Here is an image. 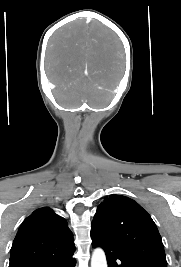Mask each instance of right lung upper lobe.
<instances>
[{
    "instance_id": "1",
    "label": "right lung upper lobe",
    "mask_w": 181,
    "mask_h": 267,
    "mask_svg": "<svg viewBox=\"0 0 181 267\" xmlns=\"http://www.w3.org/2000/svg\"><path fill=\"white\" fill-rule=\"evenodd\" d=\"M73 250V235L65 219L43 207L21 224L11 248L10 263L47 260Z\"/></svg>"
}]
</instances>
